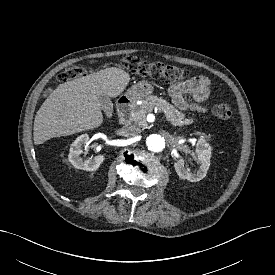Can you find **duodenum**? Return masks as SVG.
<instances>
[{"instance_id":"1","label":"duodenum","mask_w":275,"mask_h":275,"mask_svg":"<svg viewBox=\"0 0 275 275\" xmlns=\"http://www.w3.org/2000/svg\"><path fill=\"white\" fill-rule=\"evenodd\" d=\"M133 101V98L129 96H124L119 99L117 103V113L121 124H127L129 122V114Z\"/></svg>"}]
</instances>
